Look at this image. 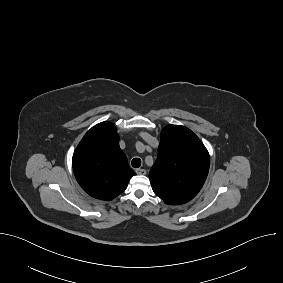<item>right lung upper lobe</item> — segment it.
<instances>
[{
    "label": "right lung upper lobe",
    "mask_w": 283,
    "mask_h": 283,
    "mask_svg": "<svg viewBox=\"0 0 283 283\" xmlns=\"http://www.w3.org/2000/svg\"><path fill=\"white\" fill-rule=\"evenodd\" d=\"M118 142L116 128L105 121L91 128L74 151L72 164L77 182L94 198L114 199L135 175Z\"/></svg>",
    "instance_id": "obj_1"
}]
</instances>
